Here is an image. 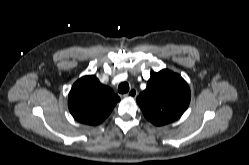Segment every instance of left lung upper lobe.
<instances>
[{
	"instance_id": "obj_1",
	"label": "left lung upper lobe",
	"mask_w": 249,
	"mask_h": 165,
	"mask_svg": "<svg viewBox=\"0 0 249 165\" xmlns=\"http://www.w3.org/2000/svg\"><path fill=\"white\" fill-rule=\"evenodd\" d=\"M191 98L188 84L177 73L163 69L151 74L146 89L137 97L144 116L157 126L177 120Z\"/></svg>"
}]
</instances>
